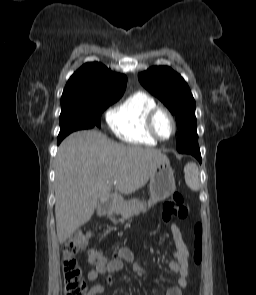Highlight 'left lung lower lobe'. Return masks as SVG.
I'll list each match as a JSON object with an SVG mask.
<instances>
[{"mask_svg": "<svg viewBox=\"0 0 256 295\" xmlns=\"http://www.w3.org/2000/svg\"><path fill=\"white\" fill-rule=\"evenodd\" d=\"M185 153L193 155L201 163V154L199 147L189 148Z\"/></svg>", "mask_w": 256, "mask_h": 295, "instance_id": "obj_1", "label": "left lung lower lobe"}]
</instances>
